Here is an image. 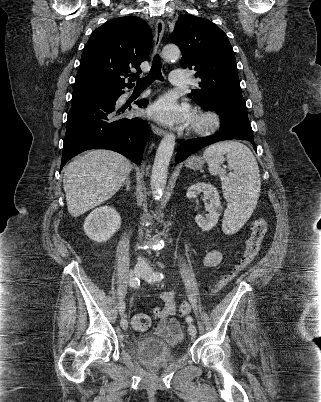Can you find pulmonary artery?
<instances>
[{"instance_id": "pulmonary-artery-1", "label": "pulmonary artery", "mask_w": 321, "mask_h": 402, "mask_svg": "<svg viewBox=\"0 0 321 402\" xmlns=\"http://www.w3.org/2000/svg\"><path fill=\"white\" fill-rule=\"evenodd\" d=\"M170 84L172 86H182L187 83L185 71L183 69L173 70L169 77Z\"/></svg>"}]
</instances>
